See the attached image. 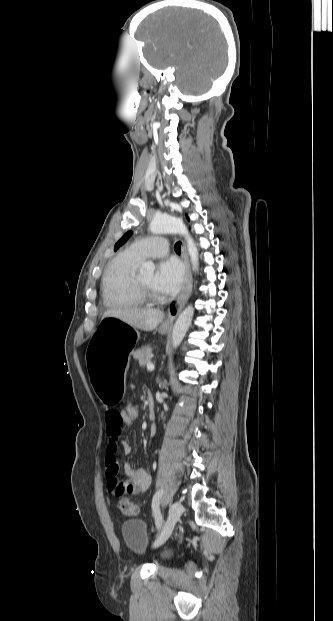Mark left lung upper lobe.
Listing matches in <instances>:
<instances>
[{
	"instance_id": "1",
	"label": "left lung upper lobe",
	"mask_w": 333,
	"mask_h": 621,
	"mask_svg": "<svg viewBox=\"0 0 333 621\" xmlns=\"http://www.w3.org/2000/svg\"><path fill=\"white\" fill-rule=\"evenodd\" d=\"M131 234L132 232L125 233L123 237L115 244L114 251H117L130 238Z\"/></svg>"
}]
</instances>
